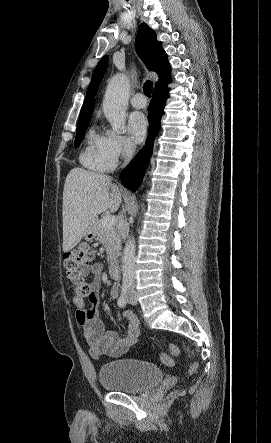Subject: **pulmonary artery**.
<instances>
[{
  "label": "pulmonary artery",
  "instance_id": "pulmonary-artery-1",
  "mask_svg": "<svg viewBox=\"0 0 271 443\" xmlns=\"http://www.w3.org/2000/svg\"><path fill=\"white\" fill-rule=\"evenodd\" d=\"M131 105L135 108H144L147 105V99L142 93L134 94L130 99Z\"/></svg>",
  "mask_w": 271,
  "mask_h": 443
}]
</instances>
